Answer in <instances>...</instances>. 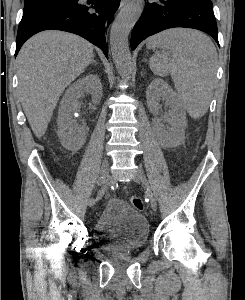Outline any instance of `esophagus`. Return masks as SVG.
Segmentation results:
<instances>
[{
	"instance_id": "esophagus-1",
	"label": "esophagus",
	"mask_w": 245,
	"mask_h": 300,
	"mask_svg": "<svg viewBox=\"0 0 245 300\" xmlns=\"http://www.w3.org/2000/svg\"><path fill=\"white\" fill-rule=\"evenodd\" d=\"M130 0H121L120 2V8L125 6Z\"/></svg>"
}]
</instances>
